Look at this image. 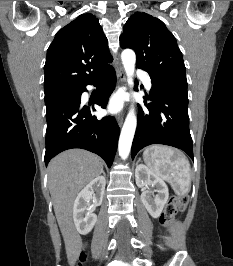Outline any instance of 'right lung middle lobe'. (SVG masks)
Returning <instances> with one entry per match:
<instances>
[{
  "mask_svg": "<svg viewBox=\"0 0 233 266\" xmlns=\"http://www.w3.org/2000/svg\"><path fill=\"white\" fill-rule=\"evenodd\" d=\"M79 93V89L58 90L49 93H45L46 109L70 99Z\"/></svg>",
  "mask_w": 233,
  "mask_h": 266,
  "instance_id": "obj_1",
  "label": "right lung middle lobe"
}]
</instances>
